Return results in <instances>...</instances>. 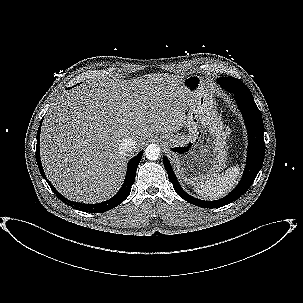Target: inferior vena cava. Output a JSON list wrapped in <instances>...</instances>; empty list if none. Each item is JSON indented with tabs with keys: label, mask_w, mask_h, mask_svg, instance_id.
I'll return each mask as SVG.
<instances>
[{
	"label": "inferior vena cava",
	"mask_w": 303,
	"mask_h": 303,
	"mask_svg": "<svg viewBox=\"0 0 303 303\" xmlns=\"http://www.w3.org/2000/svg\"><path fill=\"white\" fill-rule=\"evenodd\" d=\"M136 148V142L133 138H125L119 145V151L123 154H130Z\"/></svg>",
	"instance_id": "obj_1"
}]
</instances>
